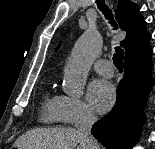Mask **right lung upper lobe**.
Wrapping results in <instances>:
<instances>
[{
    "label": "right lung upper lobe",
    "mask_w": 155,
    "mask_h": 149,
    "mask_svg": "<svg viewBox=\"0 0 155 149\" xmlns=\"http://www.w3.org/2000/svg\"><path fill=\"white\" fill-rule=\"evenodd\" d=\"M139 7L130 0H119L116 18L120 28L126 31V38L121 45L126 50L125 61H139L149 57L152 50L149 46L150 33L146 30Z\"/></svg>",
    "instance_id": "cb5924a9"
}]
</instances>
